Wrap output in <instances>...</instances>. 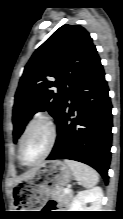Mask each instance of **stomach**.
<instances>
[{"label":"stomach","mask_w":123,"mask_h":219,"mask_svg":"<svg viewBox=\"0 0 123 219\" xmlns=\"http://www.w3.org/2000/svg\"><path fill=\"white\" fill-rule=\"evenodd\" d=\"M71 168L63 161L52 160L41 164L36 168L34 174L23 180L18 188L16 197L18 211H37L27 209H38L46 201V197L52 192L62 189L72 179Z\"/></svg>","instance_id":"1"}]
</instances>
